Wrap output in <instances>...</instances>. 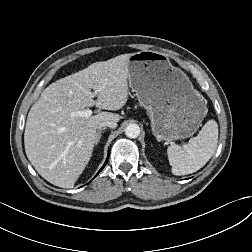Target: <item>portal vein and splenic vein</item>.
<instances>
[{
  "label": "portal vein and splenic vein",
  "instance_id": "1",
  "mask_svg": "<svg viewBox=\"0 0 252 252\" xmlns=\"http://www.w3.org/2000/svg\"><path fill=\"white\" fill-rule=\"evenodd\" d=\"M97 91H99V90H96V91L92 94L93 97L96 96ZM71 114H72V116L90 117V116L92 115V110H90V109L80 110V111L72 112Z\"/></svg>",
  "mask_w": 252,
  "mask_h": 252
}]
</instances>
